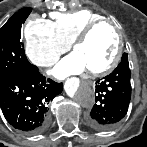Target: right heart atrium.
<instances>
[{
  "mask_svg": "<svg viewBox=\"0 0 147 147\" xmlns=\"http://www.w3.org/2000/svg\"><path fill=\"white\" fill-rule=\"evenodd\" d=\"M25 51L28 59L37 67H49L67 48L54 33L51 21L33 16L24 27Z\"/></svg>",
  "mask_w": 147,
  "mask_h": 147,
  "instance_id": "right-heart-atrium-1",
  "label": "right heart atrium"
}]
</instances>
